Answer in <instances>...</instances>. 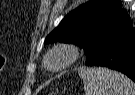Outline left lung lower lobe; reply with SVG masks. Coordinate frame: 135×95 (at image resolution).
<instances>
[{
	"label": "left lung lower lobe",
	"instance_id": "left-lung-lower-lobe-1",
	"mask_svg": "<svg viewBox=\"0 0 135 95\" xmlns=\"http://www.w3.org/2000/svg\"><path fill=\"white\" fill-rule=\"evenodd\" d=\"M87 66H101L119 71L135 82V32L132 25L106 36Z\"/></svg>",
	"mask_w": 135,
	"mask_h": 95
}]
</instances>
